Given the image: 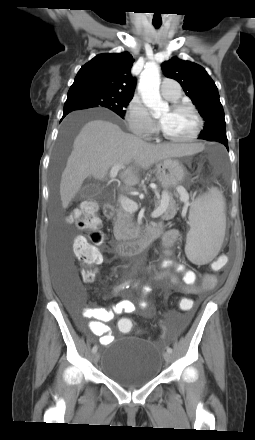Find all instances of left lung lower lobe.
I'll return each instance as SVG.
<instances>
[{"label": "left lung lower lobe", "instance_id": "obj_1", "mask_svg": "<svg viewBox=\"0 0 255 440\" xmlns=\"http://www.w3.org/2000/svg\"><path fill=\"white\" fill-rule=\"evenodd\" d=\"M222 144H224L226 146V148L228 149V143H222Z\"/></svg>", "mask_w": 255, "mask_h": 440}]
</instances>
